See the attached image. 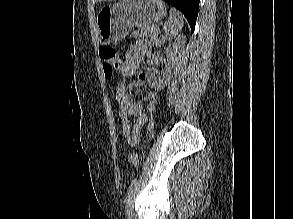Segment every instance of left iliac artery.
<instances>
[{"label":"left iliac artery","instance_id":"44dca946","mask_svg":"<svg viewBox=\"0 0 293 219\" xmlns=\"http://www.w3.org/2000/svg\"><path fill=\"white\" fill-rule=\"evenodd\" d=\"M136 185H137V179L135 178L134 181H133V183L129 187V191H128L127 198H130L133 195V193H134V191L136 189Z\"/></svg>","mask_w":293,"mask_h":219}]
</instances>
